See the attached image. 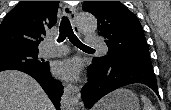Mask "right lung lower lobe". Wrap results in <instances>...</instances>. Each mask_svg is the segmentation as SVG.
Here are the masks:
<instances>
[{
	"instance_id": "right-lung-lower-lobe-1",
	"label": "right lung lower lobe",
	"mask_w": 171,
	"mask_h": 110,
	"mask_svg": "<svg viewBox=\"0 0 171 110\" xmlns=\"http://www.w3.org/2000/svg\"><path fill=\"white\" fill-rule=\"evenodd\" d=\"M16 70L25 72L36 79L41 87L44 89V91L47 93L54 106L58 110L60 109V98L63 94V86L58 80L52 78L51 74L49 73L50 68L48 65L43 68L25 67Z\"/></svg>"
}]
</instances>
